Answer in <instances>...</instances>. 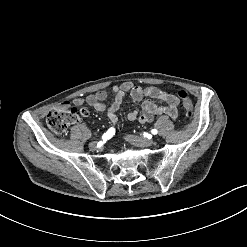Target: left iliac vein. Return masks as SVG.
<instances>
[{
	"mask_svg": "<svg viewBox=\"0 0 247 247\" xmlns=\"http://www.w3.org/2000/svg\"><path fill=\"white\" fill-rule=\"evenodd\" d=\"M125 140H127L130 143L136 144L140 147H149L155 143L154 140L151 139H144V138H137L132 135L125 136Z\"/></svg>",
	"mask_w": 247,
	"mask_h": 247,
	"instance_id": "1",
	"label": "left iliac vein"
}]
</instances>
